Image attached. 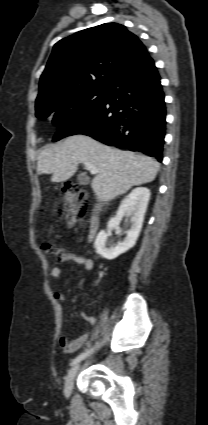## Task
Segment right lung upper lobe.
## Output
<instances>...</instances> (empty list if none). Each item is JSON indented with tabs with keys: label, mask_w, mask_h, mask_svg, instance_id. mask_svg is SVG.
<instances>
[{
	"label": "right lung upper lobe",
	"mask_w": 208,
	"mask_h": 425,
	"mask_svg": "<svg viewBox=\"0 0 208 425\" xmlns=\"http://www.w3.org/2000/svg\"><path fill=\"white\" fill-rule=\"evenodd\" d=\"M147 54L139 38L121 24L79 31L54 45L36 102L82 89L106 88Z\"/></svg>",
	"instance_id": "right-lung-upper-lobe-1"
}]
</instances>
